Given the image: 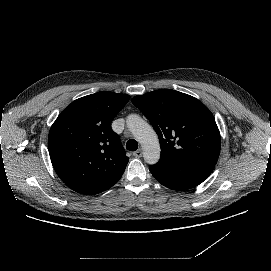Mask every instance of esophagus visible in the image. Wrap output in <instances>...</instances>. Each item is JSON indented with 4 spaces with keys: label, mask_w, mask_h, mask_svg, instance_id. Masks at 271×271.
I'll use <instances>...</instances> for the list:
<instances>
[{
    "label": "esophagus",
    "mask_w": 271,
    "mask_h": 271,
    "mask_svg": "<svg viewBox=\"0 0 271 271\" xmlns=\"http://www.w3.org/2000/svg\"><path fill=\"white\" fill-rule=\"evenodd\" d=\"M142 155H143V151H142L141 148L136 150L135 152H133V156L136 157V158H141Z\"/></svg>",
    "instance_id": "obj_1"
}]
</instances>
